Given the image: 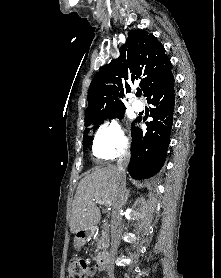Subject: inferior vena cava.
Here are the masks:
<instances>
[{"mask_svg":"<svg viewBox=\"0 0 221 278\" xmlns=\"http://www.w3.org/2000/svg\"><path fill=\"white\" fill-rule=\"evenodd\" d=\"M130 160V152L125 151L121 154L117 168L120 172V181L116 190L115 200L112 205V215H111V247L109 252V257L112 258L117 250L118 246V236L121 231V209L124 205V195H125V169L128 166ZM108 271H112L113 266L111 262H108L106 265Z\"/></svg>","mask_w":221,"mask_h":278,"instance_id":"obj_1","label":"inferior vena cava"}]
</instances>
